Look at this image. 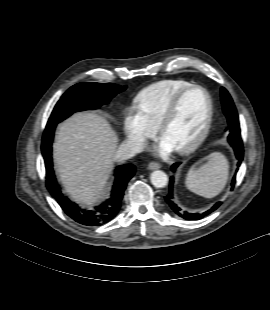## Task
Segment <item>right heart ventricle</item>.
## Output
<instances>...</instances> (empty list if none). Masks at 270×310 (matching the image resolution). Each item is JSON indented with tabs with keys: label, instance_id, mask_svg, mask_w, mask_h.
Wrapping results in <instances>:
<instances>
[{
	"label": "right heart ventricle",
	"instance_id": "1",
	"mask_svg": "<svg viewBox=\"0 0 270 310\" xmlns=\"http://www.w3.org/2000/svg\"><path fill=\"white\" fill-rule=\"evenodd\" d=\"M192 84L185 80H163L143 89L137 96V104L148 120L158 126L171 100Z\"/></svg>",
	"mask_w": 270,
	"mask_h": 310
}]
</instances>
